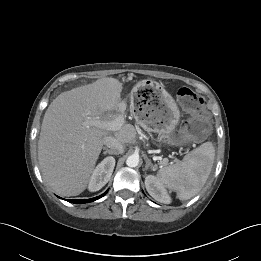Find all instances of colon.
I'll return each instance as SVG.
<instances>
[{"mask_svg": "<svg viewBox=\"0 0 261 261\" xmlns=\"http://www.w3.org/2000/svg\"><path fill=\"white\" fill-rule=\"evenodd\" d=\"M176 97L189 118L184 122L175 136V141L200 140L210 130L208 113L205 111L204 99L188 87H180Z\"/></svg>", "mask_w": 261, "mask_h": 261, "instance_id": "colon-1", "label": "colon"}]
</instances>
